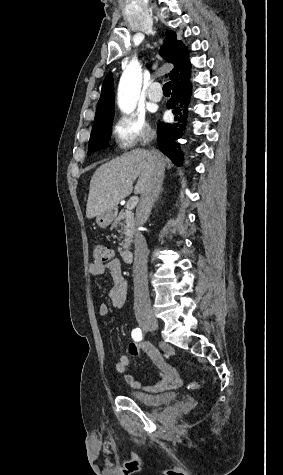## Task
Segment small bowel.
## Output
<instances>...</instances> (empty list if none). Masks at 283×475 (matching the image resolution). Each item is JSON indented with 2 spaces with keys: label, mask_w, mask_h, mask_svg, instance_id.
<instances>
[{
  "label": "small bowel",
  "mask_w": 283,
  "mask_h": 475,
  "mask_svg": "<svg viewBox=\"0 0 283 475\" xmlns=\"http://www.w3.org/2000/svg\"><path fill=\"white\" fill-rule=\"evenodd\" d=\"M88 272L92 276H101L108 272L112 279V286L109 290L108 296L114 308L120 309L123 307L127 297V281L121 272V262L114 258L106 264H97L92 262L88 266ZM109 308L106 303H101L98 306V314L101 317L108 315ZM129 355H121L115 362L114 368L117 373L123 374L125 382L134 389L142 387L140 380L136 378L133 373L127 372L131 364V357H137L141 351H144L150 358L153 365L158 369L160 380L150 388L155 391H163L174 389L182 385V374L179 373L173 366L167 363L160 352L149 343H132L128 348Z\"/></svg>",
  "instance_id": "c3829d8e"
}]
</instances>
